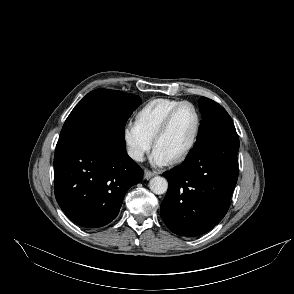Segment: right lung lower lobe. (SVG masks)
Returning <instances> with one entry per match:
<instances>
[{
    "label": "right lung lower lobe",
    "mask_w": 294,
    "mask_h": 294,
    "mask_svg": "<svg viewBox=\"0 0 294 294\" xmlns=\"http://www.w3.org/2000/svg\"><path fill=\"white\" fill-rule=\"evenodd\" d=\"M124 138L68 141L55 149V197L75 223L97 228L116 218L127 190L143 178L128 155Z\"/></svg>",
    "instance_id": "98d812e1"
}]
</instances>
